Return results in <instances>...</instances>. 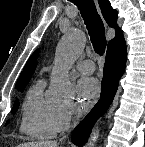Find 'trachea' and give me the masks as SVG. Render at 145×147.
Wrapping results in <instances>:
<instances>
[{
	"mask_svg": "<svg viewBox=\"0 0 145 147\" xmlns=\"http://www.w3.org/2000/svg\"><path fill=\"white\" fill-rule=\"evenodd\" d=\"M83 17L96 53L102 55L106 48L104 24L99 16L93 0H74Z\"/></svg>",
	"mask_w": 145,
	"mask_h": 147,
	"instance_id": "1",
	"label": "trachea"
}]
</instances>
